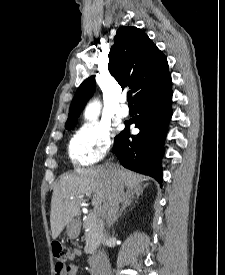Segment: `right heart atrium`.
Returning <instances> with one entry per match:
<instances>
[{"label":"right heart atrium","mask_w":225,"mask_h":275,"mask_svg":"<svg viewBox=\"0 0 225 275\" xmlns=\"http://www.w3.org/2000/svg\"><path fill=\"white\" fill-rule=\"evenodd\" d=\"M111 140V133L107 127L100 125L83 127L70 141V158L79 167H92L104 157Z\"/></svg>","instance_id":"obj_1"}]
</instances>
